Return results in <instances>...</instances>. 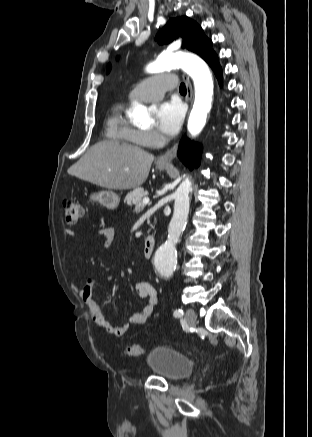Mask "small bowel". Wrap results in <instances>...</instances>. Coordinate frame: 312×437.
Masks as SVG:
<instances>
[{"mask_svg": "<svg viewBox=\"0 0 312 437\" xmlns=\"http://www.w3.org/2000/svg\"><path fill=\"white\" fill-rule=\"evenodd\" d=\"M65 235L74 236L75 233L72 230H67ZM98 235L104 238V247L109 248L115 239V229L113 227L102 228L98 231ZM96 288V280L88 277L84 285L81 288H76V291L82 302L87 306L94 325L106 333L117 337L123 336L133 325H143L147 323L149 318L153 315L158 303V294L153 285L146 281L138 282L136 284V293L141 299L146 300V303L141 312L133 313L128 317L125 325L116 326L108 321V314L103 304L93 298V292Z\"/></svg>", "mask_w": 312, "mask_h": 437, "instance_id": "obj_1", "label": "small bowel"}]
</instances>
